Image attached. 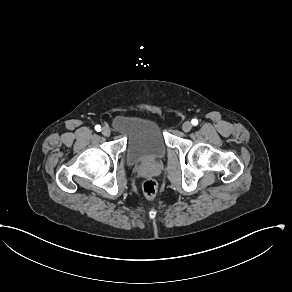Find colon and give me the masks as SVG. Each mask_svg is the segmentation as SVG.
Here are the masks:
<instances>
[{
    "mask_svg": "<svg viewBox=\"0 0 292 292\" xmlns=\"http://www.w3.org/2000/svg\"><path fill=\"white\" fill-rule=\"evenodd\" d=\"M158 192V186L156 184V181L152 178H148L143 183V195L146 199L152 200L156 197Z\"/></svg>",
    "mask_w": 292,
    "mask_h": 292,
    "instance_id": "obj_1",
    "label": "colon"
}]
</instances>
